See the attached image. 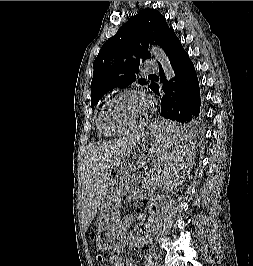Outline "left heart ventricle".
Here are the masks:
<instances>
[{
    "label": "left heart ventricle",
    "mask_w": 253,
    "mask_h": 266,
    "mask_svg": "<svg viewBox=\"0 0 253 266\" xmlns=\"http://www.w3.org/2000/svg\"><path fill=\"white\" fill-rule=\"evenodd\" d=\"M148 110V102L143 97L133 94L124 95L107 107L104 123L112 130L127 129L143 120Z\"/></svg>",
    "instance_id": "b2bd125f"
}]
</instances>
